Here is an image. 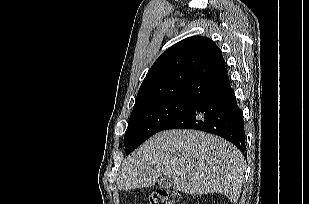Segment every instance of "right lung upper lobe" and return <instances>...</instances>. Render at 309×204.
I'll list each match as a JSON object with an SVG mask.
<instances>
[{
    "label": "right lung upper lobe",
    "instance_id": "obj_1",
    "mask_svg": "<svg viewBox=\"0 0 309 204\" xmlns=\"http://www.w3.org/2000/svg\"><path fill=\"white\" fill-rule=\"evenodd\" d=\"M228 86L220 49L209 38L193 36L173 45L155 61L135 104L166 98L200 101Z\"/></svg>",
    "mask_w": 309,
    "mask_h": 204
}]
</instances>
